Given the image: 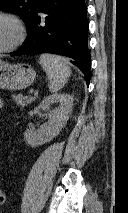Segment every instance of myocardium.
<instances>
[{
    "label": "myocardium",
    "instance_id": "myocardium-1",
    "mask_svg": "<svg viewBox=\"0 0 128 213\" xmlns=\"http://www.w3.org/2000/svg\"><path fill=\"white\" fill-rule=\"evenodd\" d=\"M0 18H4L12 22L16 29V37L14 41L9 46L0 49V54L9 53L16 50L24 42L26 38V27L24 22L14 13L0 11Z\"/></svg>",
    "mask_w": 128,
    "mask_h": 213
}]
</instances>
